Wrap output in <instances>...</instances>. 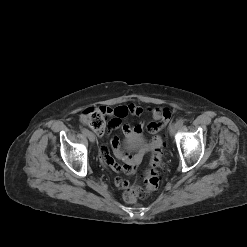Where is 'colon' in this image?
Listing matches in <instances>:
<instances>
[{
    "instance_id": "5ec220e1",
    "label": "colon",
    "mask_w": 247,
    "mask_h": 247,
    "mask_svg": "<svg viewBox=\"0 0 247 247\" xmlns=\"http://www.w3.org/2000/svg\"><path fill=\"white\" fill-rule=\"evenodd\" d=\"M106 119L107 116L103 108H88L83 111L81 115L82 122L99 134H102L105 131ZM159 146L160 144L155 146L151 156L149 167L145 175V188L138 186L126 188L123 193V198L126 202L133 203L137 199L147 196L158 188L161 182L158 170L163 166L162 154Z\"/></svg>"
}]
</instances>
